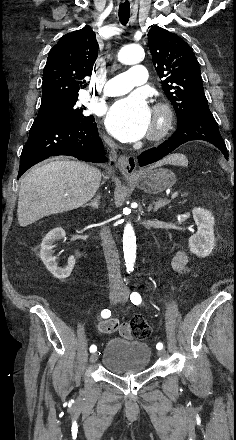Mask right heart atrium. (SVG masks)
I'll list each match as a JSON object with an SVG mask.
<instances>
[{
	"label": "right heart atrium",
	"instance_id": "obj_1",
	"mask_svg": "<svg viewBox=\"0 0 236 440\" xmlns=\"http://www.w3.org/2000/svg\"><path fill=\"white\" fill-rule=\"evenodd\" d=\"M103 139H104L105 142H107L109 144L111 143V140H110V138L108 136L103 135Z\"/></svg>",
	"mask_w": 236,
	"mask_h": 440
}]
</instances>
